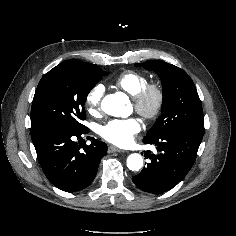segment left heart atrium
<instances>
[{
    "label": "left heart atrium",
    "instance_id": "left-heart-atrium-1",
    "mask_svg": "<svg viewBox=\"0 0 236 236\" xmlns=\"http://www.w3.org/2000/svg\"><path fill=\"white\" fill-rule=\"evenodd\" d=\"M140 130L141 125L136 118L116 119L103 125L100 128V135L112 144L125 147L133 142Z\"/></svg>",
    "mask_w": 236,
    "mask_h": 236
}]
</instances>
